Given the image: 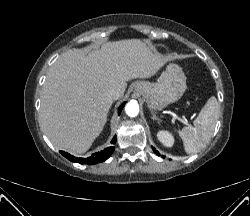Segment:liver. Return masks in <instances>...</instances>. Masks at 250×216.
<instances>
[{"label":"liver","instance_id":"1","mask_svg":"<svg viewBox=\"0 0 250 216\" xmlns=\"http://www.w3.org/2000/svg\"><path fill=\"white\" fill-rule=\"evenodd\" d=\"M166 63L139 39L107 42L100 49H71L50 67L43 85L40 124L51 141L73 154H83L99 136L115 88L123 97L127 81L150 78Z\"/></svg>","mask_w":250,"mask_h":216}]
</instances>
